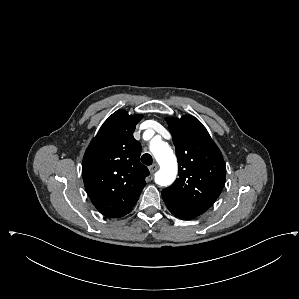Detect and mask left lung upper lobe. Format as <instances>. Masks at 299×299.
I'll return each instance as SVG.
<instances>
[{"label":"left lung upper lobe","mask_w":299,"mask_h":299,"mask_svg":"<svg viewBox=\"0 0 299 299\" xmlns=\"http://www.w3.org/2000/svg\"><path fill=\"white\" fill-rule=\"evenodd\" d=\"M179 163V178L162 191L180 205L204 213L220 195L226 177L222 154L193 116L168 118Z\"/></svg>","instance_id":"left-lung-upper-lobe-1"}]
</instances>
